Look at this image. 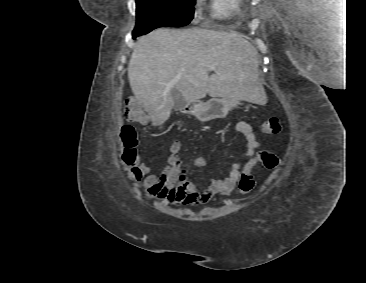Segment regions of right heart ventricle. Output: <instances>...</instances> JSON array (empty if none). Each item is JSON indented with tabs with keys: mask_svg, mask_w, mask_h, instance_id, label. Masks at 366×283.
<instances>
[{
	"mask_svg": "<svg viewBox=\"0 0 366 283\" xmlns=\"http://www.w3.org/2000/svg\"><path fill=\"white\" fill-rule=\"evenodd\" d=\"M241 0H211V9L218 19L230 18L241 11Z\"/></svg>",
	"mask_w": 366,
	"mask_h": 283,
	"instance_id": "right-heart-ventricle-1",
	"label": "right heart ventricle"
}]
</instances>
